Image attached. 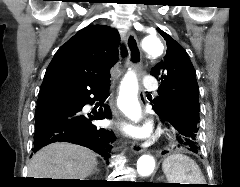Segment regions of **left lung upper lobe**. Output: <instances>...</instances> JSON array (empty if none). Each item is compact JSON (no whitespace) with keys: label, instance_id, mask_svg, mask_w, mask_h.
Segmentation results:
<instances>
[{"label":"left lung upper lobe","instance_id":"1","mask_svg":"<svg viewBox=\"0 0 240 187\" xmlns=\"http://www.w3.org/2000/svg\"><path fill=\"white\" fill-rule=\"evenodd\" d=\"M157 30L166 40L167 51L164 59L150 72L161 80L153 109L182 113L199 123V87L190 58L179 43L161 29Z\"/></svg>","mask_w":240,"mask_h":187}]
</instances>
